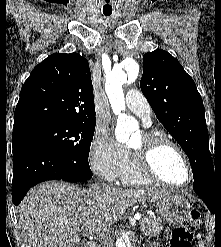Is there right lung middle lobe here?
I'll return each mask as SVG.
<instances>
[{
    "instance_id": "right-lung-middle-lobe-1",
    "label": "right lung middle lobe",
    "mask_w": 221,
    "mask_h": 247,
    "mask_svg": "<svg viewBox=\"0 0 221 247\" xmlns=\"http://www.w3.org/2000/svg\"><path fill=\"white\" fill-rule=\"evenodd\" d=\"M95 122H48L13 130V137L30 138L50 146L69 160L90 168L88 157Z\"/></svg>"
}]
</instances>
